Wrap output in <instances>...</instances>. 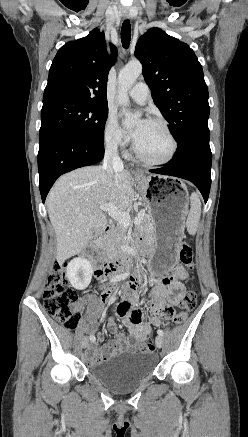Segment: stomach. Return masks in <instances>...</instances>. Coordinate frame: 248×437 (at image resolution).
I'll list each match as a JSON object with an SVG mask.
<instances>
[{
    "label": "stomach",
    "mask_w": 248,
    "mask_h": 437,
    "mask_svg": "<svg viewBox=\"0 0 248 437\" xmlns=\"http://www.w3.org/2000/svg\"><path fill=\"white\" fill-rule=\"evenodd\" d=\"M155 235L156 253L150 268L164 274L175 262L185 218L188 212V191L182 182L166 176L138 177Z\"/></svg>",
    "instance_id": "1"
}]
</instances>
